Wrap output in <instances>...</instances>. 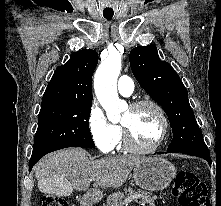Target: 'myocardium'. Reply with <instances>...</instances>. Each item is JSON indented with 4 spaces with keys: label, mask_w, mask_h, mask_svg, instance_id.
<instances>
[{
    "label": "myocardium",
    "mask_w": 221,
    "mask_h": 206,
    "mask_svg": "<svg viewBox=\"0 0 221 206\" xmlns=\"http://www.w3.org/2000/svg\"><path fill=\"white\" fill-rule=\"evenodd\" d=\"M142 106H151L152 108L155 109V111L157 112V114L160 117L162 126H161L160 135H159L158 139L156 140V142L150 147H146V148L139 147L133 141L130 131L123 124H121V129H122V134H123L124 146L128 151H130L132 153H136V154H149V153L156 151L164 142V140L168 134L169 123H168L167 116H166L162 106L152 99L144 98V99L137 100V101L131 103L129 108L131 110H135V109H138Z\"/></svg>",
    "instance_id": "1"
}]
</instances>
